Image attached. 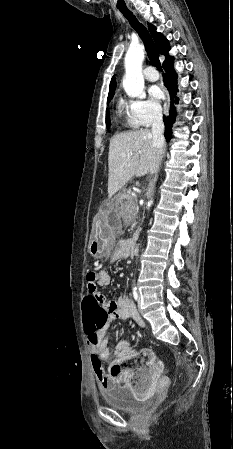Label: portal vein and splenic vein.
<instances>
[{
  "instance_id": "1",
  "label": "portal vein and splenic vein",
  "mask_w": 233,
  "mask_h": 449,
  "mask_svg": "<svg viewBox=\"0 0 233 449\" xmlns=\"http://www.w3.org/2000/svg\"><path fill=\"white\" fill-rule=\"evenodd\" d=\"M128 157H131V154H128Z\"/></svg>"
}]
</instances>
